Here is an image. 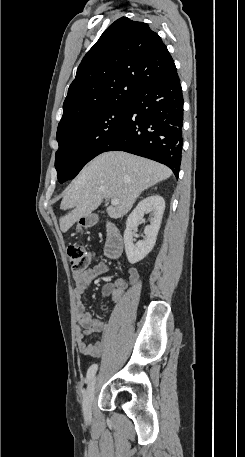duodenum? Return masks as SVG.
<instances>
[{
	"label": "duodenum",
	"mask_w": 245,
	"mask_h": 457,
	"mask_svg": "<svg viewBox=\"0 0 245 457\" xmlns=\"http://www.w3.org/2000/svg\"><path fill=\"white\" fill-rule=\"evenodd\" d=\"M88 224L93 223V219L87 220ZM107 254L111 258H116L122 251V237L119 230L111 223L107 225Z\"/></svg>",
	"instance_id": "410a0bca"
}]
</instances>
